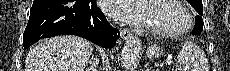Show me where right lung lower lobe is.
Returning a JSON list of instances; mask_svg holds the SVG:
<instances>
[{"label":"right lung lower lobe","instance_id":"98d812e1","mask_svg":"<svg viewBox=\"0 0 230 71\" xmlns=\"http://www.w3.org/2000/svg\"><path fill=\"white\" fill-rule=\"evenodd\" d=\"M61 34L77 35L103 48H112L119 38L96 0H34L23 35L24 49L38 40Z\"/></svg>","mask_w":230,"mask_h":71}]
</instances>
